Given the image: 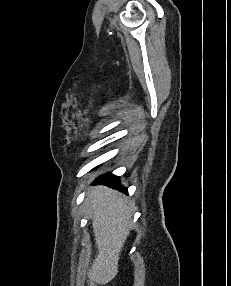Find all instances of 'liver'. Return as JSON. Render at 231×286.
<instances>
[{
    "label": "liver",
    "mask_w": 231,
    "mask_h": 286,
    "mask_svg": "<svg viewBox=\"0 0 231 286\" xmlns=\"http://www.w3.org/2000/svg\"><path fill=\"white\" fill-rule=\"evenodd\" d=\"M98 253L88 271L93 282L105 285L118 273V261L131 228L133 206L118 191L91 189L86 199Z\"/></svg>",
    "instance_id": "1"
}]
</instances>
